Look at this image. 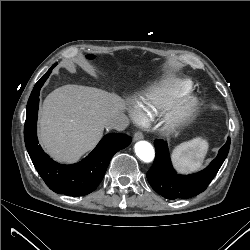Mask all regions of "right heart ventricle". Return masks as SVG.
<instances>
[{
    "label": "right heart ventricle",
    "mask_w": 250,
    "mask_h": 250,
    "mask_svg": "<svg viewBox=\"0 0 250 250\" xmlns=\"http://www.w3.org/2000/svg\"><path fill=\"white\" fill-rule=\"evenodd\" d=\"M192 87V82L184 78H165L148 87L138 102L141 115L148 119L170 110Z\"/></svg>",
    "instance_id": "e07e8e85"
}]
</instances>
